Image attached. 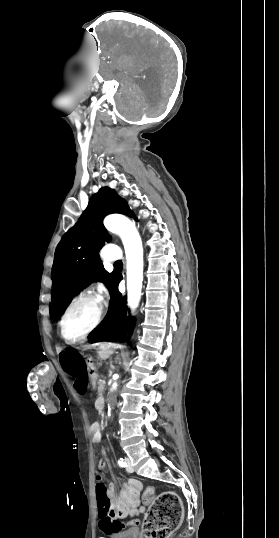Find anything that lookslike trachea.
<instances>
[{"label":"trachea","mask_w":279,"mask_h":538,"mask_svg":"<svg viewBox=\"0 0 279 538\" xmlns=\"http://www.w3.org/2000/svg\"><path fill=\"white\" fill-rule=\"evenodd\" d=\"M115 264H122V262L120 260H117Z\"/></svg>","instance_id":"1"}]
</instances>
